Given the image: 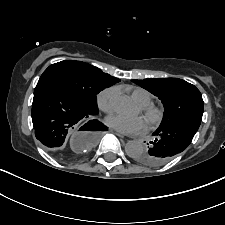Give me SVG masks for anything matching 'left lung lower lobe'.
Here are the masks:
<instances>
[{
    "mask_svg": "<svg viewBox=\"0 0 225 225\" xmlns=\"http://www.w3.org/2000/svg\"><path fill=\"white\" fill-rule=\"evenodd\" d=\"M200 123L201 120L190 119L164 129H157L153 133L155 140L150 142L148 151H144L146 157L137 161L147 166H160L167 163L188 147Z\"/></svg>",
    "mask_w": 225,
    "mask_h": 225,
    "instance_id": "left-lung-lower-lobe-1",
    "label": "left lung lower lobe"
}]
</instances>
